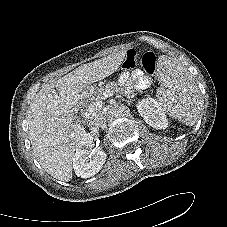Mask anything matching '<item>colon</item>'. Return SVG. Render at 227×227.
Here are the masks:
<instances>
[{"instance_id": "colon-1", "label": "colon", "mask_w": 227, "mask_h": 227, "mask_svg": "<svg viewBox=\"0 0 227 227\" xmlns=\"http://www.w3.org/2000/svg\"><path fill=\"white\" fill-rule=\"evenodd\" d=\"M138 54L131 50L126 54L123 68L126 70L134 69L138 65ZM140 64L146 73L154 75L157 71V57L153 52H146L140 59Z\"/></svg>"}]
</instances>
